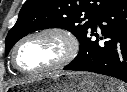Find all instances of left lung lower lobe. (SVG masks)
Instances as JSON below:
<instances>
[{"label": "left lung lower lobe", "instance_id": "left-lung-lower-lobe-1", "mask_svg": "<svg viewBox=\"0 0 127 92\" xmlns=\"http://www.w3.org/2000/svg\"><path fill=\"white\" fill-rule=\"evenodd\" d=\"M98 26L106 39L104 47L98 44L99 39L91 40L92 36L98 38ZM64 70L89 71L127 82V0H120L100 16L80 41L78 55Z\"/></svg>", "mask_w": 127, "mask_h": 92}]
</instances>
